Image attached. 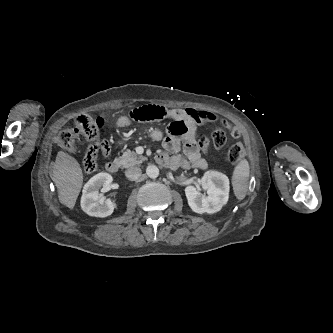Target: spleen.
I'll list each match as a JSON object with an SVG mask.
<instances>
[{"label": "spleen", "instance_id": "obj_1", "mask_svg": "<svg viewBox=\"0 0 333 333\" xmlns=\"http://www.w3.org/2000/svg\"><path fill=\"white\" fill-rule=\"evenodd\" d=\"M250 167L247 160H241L235 167L232 176L234 194L239 200H243L247 194Z\"/></svg>", "mask_w": 333, "mask_h": 333}]
</instances>
